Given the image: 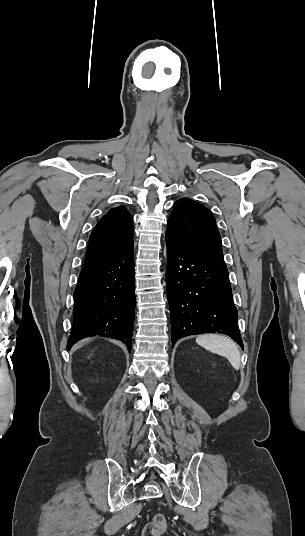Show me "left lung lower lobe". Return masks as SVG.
<instances>
[{
	"instance_id": "obj_1",
	"label": "left lung lower lobe",
	"mask_w": 305,
	"mask_h": 536,
	"mask_svg": "<svg viewBox=\"0 0 305 536\" xmlns=\"http://www.w3.org/2000/svg\"><path fill=\"white\" fill-rule=\"evenodd\" d=\"M166 242L172 345L185 336L218 332L243 349L223 256L188 249L168 236Z\"/></svg>"
}]
</instances>
